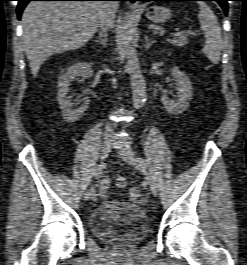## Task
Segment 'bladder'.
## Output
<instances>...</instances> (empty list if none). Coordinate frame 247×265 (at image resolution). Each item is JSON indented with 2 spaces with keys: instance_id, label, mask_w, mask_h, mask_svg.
I'll list each match as a JSON object with an SVG mask.
<instances>
[{
  "instance_id": "31cf9c89",
  "label": "bladder",
  "mask_w": 247,
  "mask_h": 265,
  "mask_svg": "<svg viewBox=\"0 0 247 265\" xmlns=\"http://www.w3.org/2000/svg\"><path fill=\"white\" fill-rule=\"evenodd\" d=\"M90 230L100 242L128 244L148 234L149 222L142 207L113 200L99 204L92 211Z\"/></svg>"
}]
</instances>
